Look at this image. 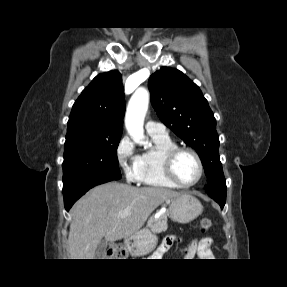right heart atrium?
<instances>
[{
  "label": "right heart atrium",
  "instance_id": "obj_1",
  "mask_svg": "<svg viewBox=\"0 0 287 287\" xmlns=\"http://www.w3.org/2000/svg\"><path fill=\"white\" fill-rule=\"evenodd\" d=\"M115 155L126 179L129 182H139V155L136 152L134 143L128 136L125 135L118 141Z\"/></svg>",
  "mask_w": 287,
  "mask_h": 287
}]
</instances>
